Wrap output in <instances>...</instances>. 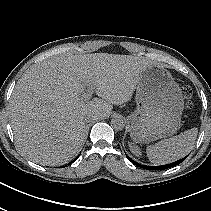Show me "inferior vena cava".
<instances>
[{"mask_svg":"<svg viewBox=\"0 0 211 211\" xmlns=\"http://www.w3.org/2000/svg\"><path fill=\"white\" fill-rule=\"evenodd\" d=\"M96 116L94 115H88L85 117V122H90L91 120H95Z\"/></svg>","mask_w":211,"mask_h":211,"instance_id":"inferior-vena-cava-1","label":"inferior vena cava"}]
</instances>
